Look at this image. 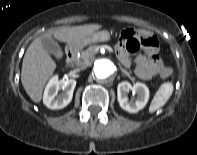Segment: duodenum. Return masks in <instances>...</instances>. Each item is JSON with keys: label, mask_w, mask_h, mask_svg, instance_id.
Listing matches in <instances>:
<instances>
[{"label": "duodenum", "mask_w": 197, "mask_h": 155, "mask_svg": "<svg viewBox=\"0 0 197 155\" xmlns=\"http://www.w3.org/2000/svg\"><path fill=\"white\" fill-rule=\"evenodd\" d=\"M76 48L75 47H69L67 50H66V54H65V62L67 64H71L75 57H76Z\"/></svg>", "instance_id": "410a0bca"}]
</instances>
